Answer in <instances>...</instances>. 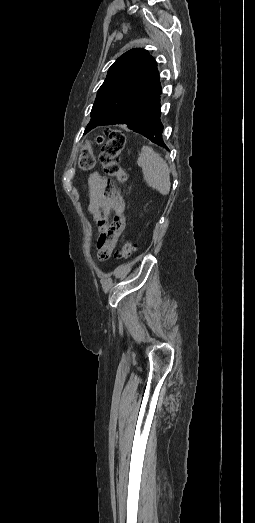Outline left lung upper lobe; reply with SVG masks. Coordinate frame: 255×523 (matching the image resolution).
<instances>
[{
    "label": "left lung upper lobe",
    "mask_w": 255,
    "mask_h": 523,
    "mask_svg": "<svg viewBox=\"0 0 255 523\" xmlns=\"http://www.w3.org/2000/svg\"><path fill=\"white\" fill-rule=\"evenodd\" d=\"M161 94L154 58L141 48L127 51L110 67L99 88L84 134L97 126L114 124H126L134 132L144 127L149 130L164 118Z\"/></svg>",
    "instance_id": "left-lung-upper-lobe-1"
}]
</instances>
